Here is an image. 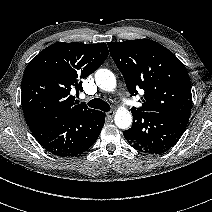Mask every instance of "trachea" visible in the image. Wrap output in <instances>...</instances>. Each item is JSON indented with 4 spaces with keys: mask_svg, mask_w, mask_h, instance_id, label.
Instances as JSON below:
<instances>
[{
    "mask_svg": "<svg viewBox=\"0 0 212 212\" xmlns=\"http://www.w3.org/2000/svg\"><path fill=\"white\" fill-rule=\"evenodd\" d=\"M88 105L91 108L100 109L104 112H108L111 109L110 105L100 98H95V99L91 100L90 102H88Z\"/></svg>",
    "mask_w": 212,
    "mask_h": 212,
    "instance_id": "1",
    "label": "trachea"
}]
</instances>
